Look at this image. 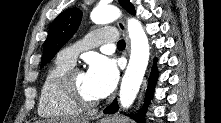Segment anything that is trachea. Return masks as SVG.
I'll return each instance as SVG.
<instances>
[{"label":"trachea","mask_w":221,"mask_h":123,"mask_svg":"<svg viewBox=\"0 0 221 123\" xmlns=\"http://www.w3.org/2000/svg\"><path fill=\"white\" fill-rule=\"evenodd\" d=\"M118 47H125V41L124 40H119V42L117 43Z\"/></svg>","instance_id":"3493384b"}]
</instances>
